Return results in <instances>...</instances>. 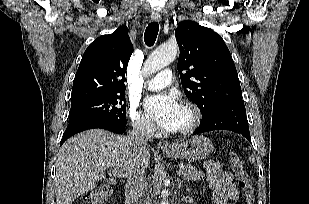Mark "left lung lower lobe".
I'll use <instances>...</instances> for the list:
<instances>
[{"label":"left lung lower lobe","instance_id":"1","mask_svg":"<svg viewBox=\"0 0 309 204\" xmlns=\"http://www.w3.org/2000/svg\"><path fill=\"white\" fill-rule=\"evenodd\" d=\"M213 130H230L242 134L249 141V128L243 102L228 103L214 108L202 115L201 125L193 135Z\"/></svg>","mask_w":309,"mask_h":204}]
</instances>
